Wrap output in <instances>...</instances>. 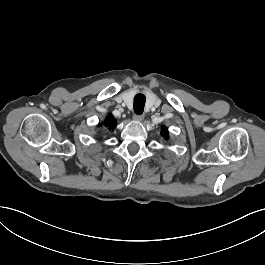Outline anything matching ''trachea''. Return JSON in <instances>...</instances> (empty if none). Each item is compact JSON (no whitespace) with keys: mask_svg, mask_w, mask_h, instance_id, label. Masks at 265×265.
<instances>
[{"mask_svg":"<svg viewBox=\"0 0 265 265\" xmlns=\"http://www.w3.org/2000/svg\"><path fill=\"white\" fill-rule=\"evenodd\" d=\"M146 102V97L142 93H138L134 97V102H133V107H134V112L138 115H141L144 110Z\"/></svg>","mask_w":265,"mask_h":265,"instance_id":"1","label":"trachea"}]
</instances>
